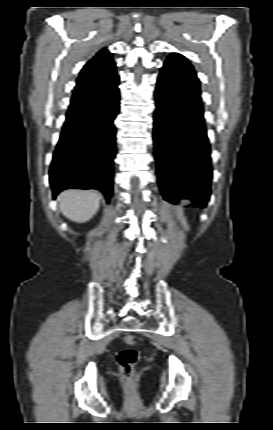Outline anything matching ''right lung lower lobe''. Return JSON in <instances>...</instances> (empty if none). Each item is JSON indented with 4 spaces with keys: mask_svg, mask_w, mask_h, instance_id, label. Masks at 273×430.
Listing matches in <instances>:
<instances>
[{
    "mask_svg": "<svg viewBox=\"0 0 273 430\" xmlns=\"http://www.w3.org/2000/svg\"><path fill=\"white\" fill-rule=\"evenodd\" d=\"M119 77L90 88L88 99L69 108L49 171L54 196L68 188L113 192Z\"/></svg>",
    "mask_w": 273,
    "mask_h": 430,
    "instance_id": "1",
    "label": "right lung lower lobe"
}]
</instances>
